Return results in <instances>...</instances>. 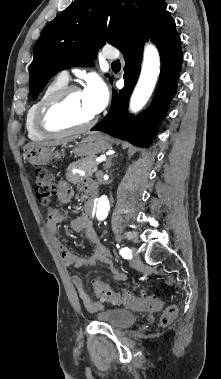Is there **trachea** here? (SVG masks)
I'll return each instance as SVG.
<instances>
[{
  "label": "trachea",
  "instance_id": "trachea-1",
  "mask_svg": "<svg viewBox=\"0 0 221 379\" xmlns=\"http://www.w3.org/2000/svg\"><path fill=\"white\" fill-rule=\"evenodd\" d=\"M113 65H120V61L119 60H116L112 63Z\"/></svg>",
  "mask_w": 221,
  "mask_h": 379
}]
</instances>
